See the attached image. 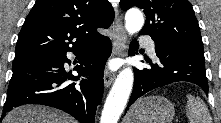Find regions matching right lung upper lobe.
<instances>
[{
	"instance_id": "1",
	"label": "right lung upper lobe",
	"mask_w": 221,
	"mask_h": 123,
	"mask_svg": "<svg viewBox=\"0 0 221 123\" xmlns=\"http://www.w3.org/2000/svg\"><path fill=\"white\" fill-rule=\"evenodd\" d=\"M113 20L107 0H37L19 33L15 56L61 54L84 47L103 36L97 28H108Z\"/></svg>"
}]
</instances>
